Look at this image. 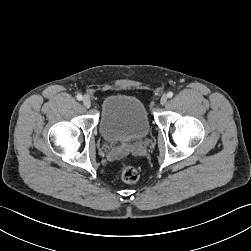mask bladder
I'll use <instances>...</instances> for the list:
<instances>
[{"label": "bladder", "mask_w": 251, "mask_h": 251, "mask_svg": "<svg viewBox=\"0 0 251 251\" xmlns=\"http://www.w3.org/2000/svg\"><path fill=\"white\" fill-rule=\"evenodd\" d=\"M99 129L111 144L144 139L150 123L144 104L135 96L113 94L102 103Z\"/></svg>", "instance_id": "obj_1"}]
</instances>
